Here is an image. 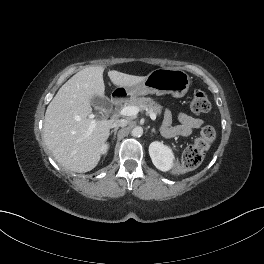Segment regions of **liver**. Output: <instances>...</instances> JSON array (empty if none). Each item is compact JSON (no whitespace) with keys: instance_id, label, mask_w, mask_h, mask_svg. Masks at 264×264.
Returning a JSON list of instances; mask_svg holds the SVG:
<instances>
[{"instance_id":"obj_1","label":"liver","mask_w":264,"mask_h":264,"mask_svg":"<svg viewBox=\"0 0 264 264\" xmlns=\"http://www.w3.org/2000/svg\"><path fill=\"white\" fill-rule=\"evenodd\" d=\"M104 67L85 68L72 76L58 90L47 107L44 119V140L56 160L74 172H88L100 161L112 124L117 119L96 121L89 131L95 96L105 97ZM111 82L118 87L141 83L146 76L109 71Z\"/></svg>"}]
</instances>
